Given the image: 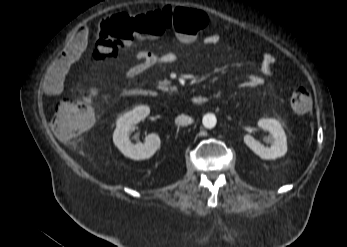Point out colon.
<instances>
[{"instance_id":"obj_1","label":"colon","mask_w":347,"mask_h":247,"mask_svg":"<svg viewBox=\"0 0 347 247\" xmlns=\"http://www.w3.org/2000/svg\"><path fill=\"white\" fill-rule=\"evenodd\" d=\"M208 24L207 15L199 10L184 7H167L147 13L130 15L115 13L100 25L95 47L99 61L114 58L120 48L139 36H162L173 30L181 39L191 42ZM77 55L73 56L75 59ZM292 108L299 113L310 111L312 97L305 87L294 89L290 98ZM94 124L92 100H61L57 103L51 122L54 133L63 140H70L88 131Z\"/></svg>"}]
</instances>
